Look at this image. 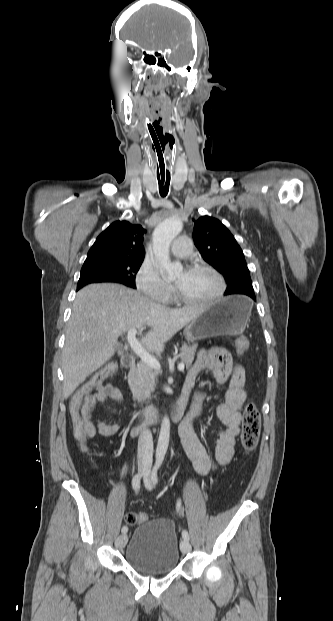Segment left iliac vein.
<instances>
[{
  "mask_svg": "<svg viewBox=\"0 0 333 621\" xmlns=\"http://www.w3.org/2000/svg\"><path fill=\"white\" fill-rule=\"evenodd\" d=\"M144 479H145V480H147V481H150V478H149V473H148V471H147V470H146V471H145V473H144ZM180 550H181V552H182V553H184V554L189 553V552L191 551V545H190V543H189L188 541H186V540H182V541L180 542Z\"/></svg>",
  "mask_w": 333,
  "mask_h": 621,
  "instance_id": "left-iliac-vein-1",
  "label": "left iliac vein"
}]
</instances>
